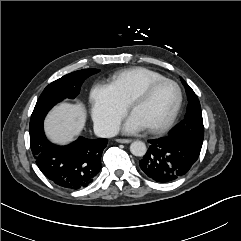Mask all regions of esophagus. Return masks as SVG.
Masks as SVG:
<instances>
[{"label": "esophagus", "instance_id": "obj_1", "mask_svg": "<svg viewBox=\"0 0 241 241\" xmlns=\"http://www.w3.org/2000/svg\"><path fill=\"white\" fill-rule=\"evenodd\" d=\"M118 143H123V144H128L131 143L132 140L131 139H117L116 140Z\"/></svg>", "mask_w": 241, "mask_h": 241}]
</instances>
